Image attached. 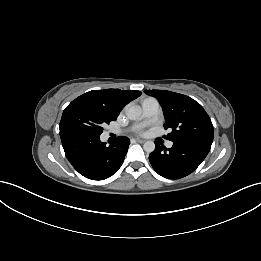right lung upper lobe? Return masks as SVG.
Here are the masks:
<instances>
[{
	"label": "right lung upper lobe",
	"instance_id": "obj_1",
	"mask_svg": "<svg viewBox=\"0 0 261 261\" xmlns=\"http://www.w3.org/2000/svg\"><path fill=\"white\" fill-rule=\"evenodd\" d=\"M140 95L141 92L136 90L105 89L89 91L79 96L78 99H87L97 103L113 118L117 119L124 106Z\"/></svg>",
	"mask_w": 261,
	"mask_h": 261
}]
</instances>
